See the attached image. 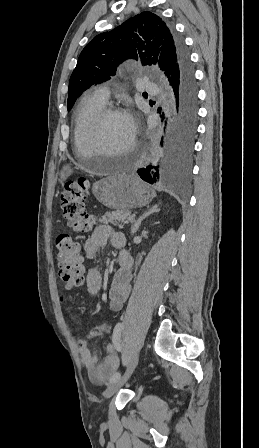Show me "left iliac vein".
I'll list each match as a JSON object with an SVG mask.
<instances>
[{"label": "left iliac vein", "instance_id": "obj_1", "mask_svg": "<svg viewBox=\"0 0 259 448\" xmlns=\"http://www.w3.org/2000/svg\"><path fill=\"white\" fill-rule=\"evenodd\" d=\"M138 359H139V353H136L135 356L130 361V363L128 364L127 369H126L124 375L119 377L116 381L111 382L109 384V386L107 387V389L104 392V396L106 398H110L130 378V376L132 375L134 369L137 366Z\"/></svg>", "mask_w": 259, "mask_h": 448}]
</instances>
